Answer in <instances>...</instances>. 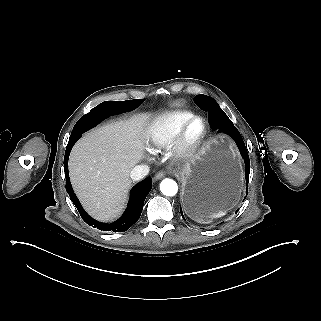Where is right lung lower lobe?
Segmentation results:
<instances>
[{"label": "right lung lower lobe", "mask_w": 321, "mask_h": 321, "mask_svg": "<svg viewBox=\"0 0 321 321\" xmlns=\"http://www.w3.org/2000/svg\"><path fill=\"white\" fill-rule=\"evenodd\" d=\"M136 107L132 104H124V105H107L99 108L96 110L93 114L95 116V120L93 123L82 126L76 131H72L70 140L66 147L65 157H64V171L66 176V191L70 196L71 201L73 204L77 207L82 219L90 226H93L94 228L103 230V231H112V232H122L128 230L140 217L144 200L147 196V194L150 192L152 188V178L147 177L140 183L136 184L130 192V199L127 206L126 211L121 216L119 220H117L114 223H102L94 220L91 218L82 208L79 200L77 199L70 180H69V174H68V158L70 151L75 144V142L82 136V134L89 130L90 128L96 126L98 123L103 121L105 118L115 115L124 113L127 111H131L135 109Z\"/></svg>", "instance_id": "obj_1"}]
</instances>
